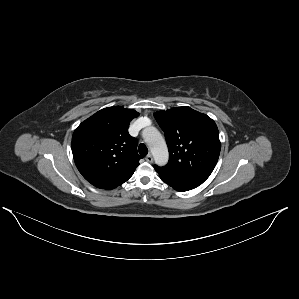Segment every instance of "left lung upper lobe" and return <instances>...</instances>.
Masks as SVG:
<instances>
[{
    "instance_id": "obj_1",
    "label": "left lung upper lobe",
    "mask_w": 299,
    "mask_h": 299,
    "mask_svg": "<svg viewBox=\"0 0 299 299\" xmlns=\"http://www.w3.org/2000/svg\"><path fill=\"white\" fill-rule=\"evenodd\" d=\"M165 133L169 161L154 165L161 176L177 181L204 182L219 158L221 143L215 122L190 107H175L154 114Z\"/></svg>"
}]
</instances>
